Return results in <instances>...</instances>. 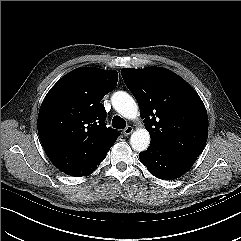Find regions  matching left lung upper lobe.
<instances>
[{
    "instance_id": "1",
    "label": "left lung upper lobe",
    "mask_w": 241,
    "mask_h": 241,
    "mask_svg": "<svg viewBox=\"0 0 241 241\" xmlns=\"http://www.w3.org/2000/svg\"><path fill=\"white\" fill-rule=\"evenodd\" d=\"M121 75L139 104L150 144L198 157L208 137V116L196 91L164 68L122 69Z\"/></svg>"
}]
</instances>
